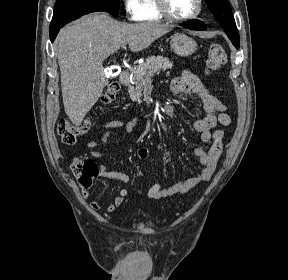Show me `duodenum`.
<instances>
[{
    "label": "duodenum",
    "instance_id": "1",
    "mask_svg": "<svg viewBox=\"0 0 288 280\" xmlns=\"http://www.w3.org/2000/svg\"><path fill=\"white\" fill-rule=\"evenodd\" d=\"M131 80V74L128 70H124L122 71V73L120 74V82L122 83V85L127 86L129 85Z\"/></svg>",
    "mask_w": 288,
    "mask_h": 280
}]
</instances>
